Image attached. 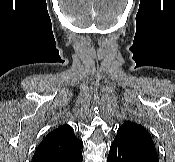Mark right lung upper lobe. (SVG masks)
Returning a JSON list of instances; mask_svg holds the SVG:
<instances>
[{"label":"right lung upper lobe","mask_w":175,"mask_h":162,"mask_svg":"<svg viewBox=\"0 0 175 162\" xmlns=\"http://www.w3.org/2000/svg\"><path fill=\"white\" fill-rule=\"evenodd\" d=\"M83 142L74 134L69 125L58 127L49 133L38 145L34 155L33 162L41 158L58 154H75L81 151Z\"/></svg>","instance_id":"cb5924a9"}]
</instances>
